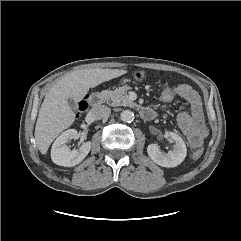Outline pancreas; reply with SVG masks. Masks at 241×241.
<instances>
[{"label": "pancreas", "instance_id": "1", "mask_svg": "<svg viewBox=\"0 0 241 241\" xmlns=\"http://www.w3.org/2000/svg\"><path fill=\"white\" fill-rule=\"evenodd\" d=\"M103 97L110 106H132L134 102L129 99L126 88H119L114 91L105 90L102 92Z\"/></svg>", "mask_w": 241, "mask_h": 241}]
</instances>
